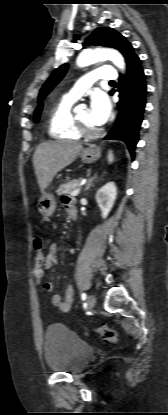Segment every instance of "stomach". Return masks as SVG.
I'll return each instance as SVG.
<instances>
[{
	"label": "stomach",
	"instance_id": "obj_1",
	"mask_svg": "<svg viewBox=\"0 0 168 415\" xmlns=\"http://www.w3.org/2000/svg\"><path fill=\"white\" fill-rule=\"evenodd\" d=\"M100 155V150L94 146H89L82 149L80 152V158L84 163L94 162ZM56 208V202L52 194L43 192L38 202V210L41 215L50 217L54 213Z\"/></svg>",
	"mask_w": 168,
	"mask_h": 415
}]
</instances>
